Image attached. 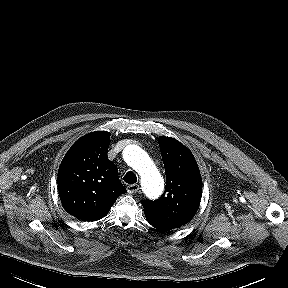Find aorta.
Instances as JSON below:
<instances>
[{
    "mask_svg": "<svg viewBox=\"0 0 288 288\" xmlns=\"http://www.w3.org/2000/svg\"><path fill=\"white\" fill-rule=\"evenodd\" d=\"M123 157L140 175L145 194L151 199L158 198L164 190V180L146 152L137 145H128Z\"/></svg>",
    "mask_w": 288,
    "mask_h": 288,
    "instance_id": "762f6f07",
    "label": "aorta"
}]
</instances>
